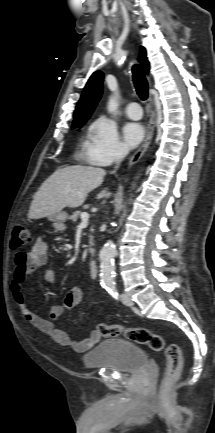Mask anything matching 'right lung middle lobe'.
Listing matches in <instances>:
<instances>
[{"label": "right lung middle lobe", "mask_w": 215, "mask_h": 433, "mask_svg": "<svg viewBox=\"0 0 215 433\" xmlns=\"http://www.w3.org/2000/svg\"><path fill=\"white\" fill-rule=\"evenodd\" d=\"M84 123L85 122H76V123H73V128L81 127Z\"/></svg>", "instance_id": "1"}]
</instances>
